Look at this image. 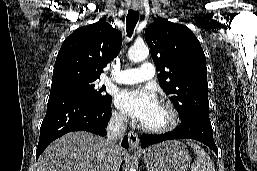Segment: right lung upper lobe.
<instances>
[{
  "label": "right lung upper lobe",
  "instance_id": "1",
  "mask_svg": "<svg viewBox=\"0 0 257 171\" xmlns=\"http://www.w3.org/2000/svg\"><path fill=\"white\" fill-rule=\"evenodd\" d=\"M121 32L104 20L82 26L63 42L53 70L51 89L70 83L96 82L120 51Z\"/></svg>",
  "mask_w": 257,
  "mask_h": 171
}]
</instances>
